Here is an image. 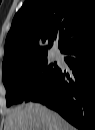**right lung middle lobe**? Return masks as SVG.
Returning a JSON list of instances; mask_svg holds the SVG:
<instances>
[{
  "instance_id": "1",
  "label": "right lung middle lobe",
  "mask_w": 95,
  "mask_h": 130,
  "mask_svg": "<svg viewBox=\"0 0 95 130\" xmlns=\"http://www.w3.org/2000/svg\"><path fill=\"white\" fill-rule=\"evenodd\" d=\"M46 57L26 65L3 71L7 106L30 101L52 79L58 70L56 63L48 64Z\"/></svg>"
}]
</instances>
